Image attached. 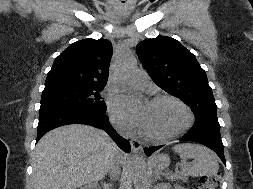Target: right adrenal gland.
<instances>
[{"label":"right adrenal gland","instance_id":"1","mask_svg":"<svg viewBox=\"0 0 253 189\" xmlns=\"http://www.w3.org/2000/svg\"><path fill=\"white\" fill-rule=\"evenodd\" d=\"M111 179L114 180V179H117V178H112V177H111Z\"/></svg>","mask_w":253,"mask_h":189}]
</instances>
